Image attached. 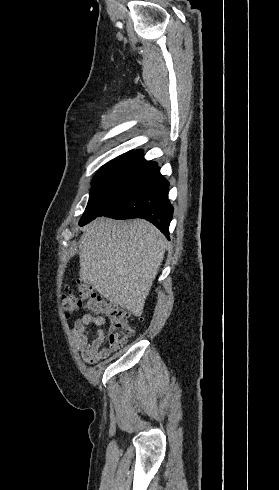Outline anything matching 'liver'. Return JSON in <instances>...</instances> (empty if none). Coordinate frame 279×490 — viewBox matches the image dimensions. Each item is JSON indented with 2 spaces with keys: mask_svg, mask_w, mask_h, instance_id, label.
Here are the masks:
<instances>
[{
  "mask_svg": "<svg viewBox=\"0 0 279 490\" xmlns=\"http://www.w3.org/2000/svg\"><path fill=\"white\" fill-rule=\"evenodd\" d=\"M165 244L163 234L146 220L96 218L80 238L79 276L112 304L142 316Z\"/></svg>",
  "mask_w": 279,
  "mask_h": 490,
  "instance_id": "1",
  "label": "liver"
}]
</instances>
